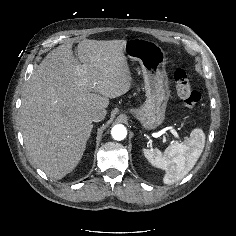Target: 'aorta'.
<instances>
[{"mask_svg":"<svg viewBox=\"0 0 236 236\" xmlns=\"http://www.w3.org/2000/svg\"><path fill=\"white\" fill-rule=\"evenodd\" d=\"M111 135L115 140L121 141L126 138L127 129L122 124L115 125L111 130Z\"/></svg>","mask_w":236,"mask_h":236,"instance_id":"762f6f07","label":"aorta"}]
</instances>
